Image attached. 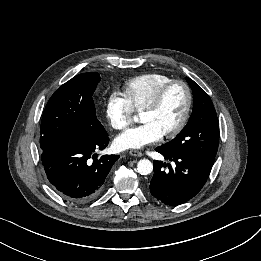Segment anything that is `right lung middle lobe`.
I'll use <instances>...</instances> for the list:
<instances>
[{"instance_id":"right-lung-middle-lobe-1","label":"right lung middle lobe","mask_w":261,"mask_h":261,"mask_svg":"<svg viewBox=\"0 0 261 261\" xmlns=\"http://www.w3.org/2000/svg\"><path fill=\"white\" fill-rule=\"evenodd\" d=\"M99 81L98 73H82L63 84L51 96L40 127L42 151L69 139L106 133L96 117L92 98Z\"/></svg>"}]
</instances>
